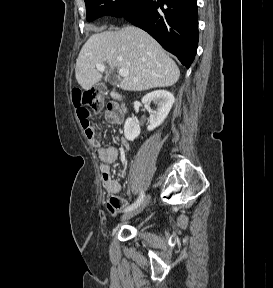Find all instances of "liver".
<instances>
[{"mask_svg":"<svg viewBox=\"0 0 273 288\" xmlns=\"http://www.w3.org/2000/svg\"><path fill=\"white\" fill-rule=\"evenodd\" d=\"M83 45L75 68V76L84 90H90L103 75L95 67L106 63L111 70L126 68L120 87L126 91H145L175 84L180 71L176 63L165 54L160 44L148 33L134 26L119 31L95 30ZM108 74L104 77L107 81Z\"/></svg>","mask_w":273,"mask_h":288,"instance_id":"obj_1","label":"liver"}]
</instances>
